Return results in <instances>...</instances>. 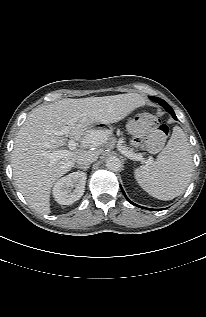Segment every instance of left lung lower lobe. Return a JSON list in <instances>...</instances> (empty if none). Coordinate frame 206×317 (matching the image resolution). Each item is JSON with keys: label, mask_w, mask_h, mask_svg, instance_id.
<instances>
[{"label": "left lung lower lobe", "mask_w": 206, "mask_h": 317, "mask_svg": "<svg viewBox=\"0 0 206 317\" xmlns=\"http://www.w3.org/2000/svg\"><path fill=\"white\" fill-rule=\"evenodd\" d=\"M150 98H151V97H150ZM151 99H152V98H151ZM171 115L173 116L174 119H176V116H175V114H174V111L172 112ZM121 190H122L124 196L126 197V199H127L131 204H133V205H135V206H139V205L133 203L132 201H130V200L128 199V197L126 196V194H125V192L123 191L122 187H121ZM139 207H140V208H144V207H142V206H139ZM145 209H148V210H156V209H150V208H145Z\"/></svg>", "instance_id": "0a47b994"}]
</instances>
